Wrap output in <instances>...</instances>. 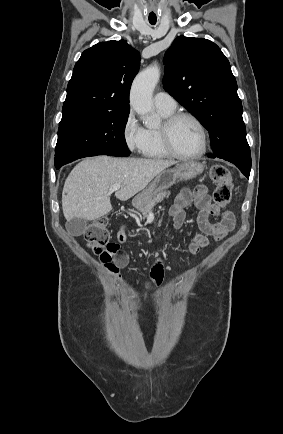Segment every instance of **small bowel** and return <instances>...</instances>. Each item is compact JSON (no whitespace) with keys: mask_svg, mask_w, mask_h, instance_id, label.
<instances>
[{"mask_svg":"<svg viewBox=\"0 0 283 434\" xmlns=\"http://www.w3.org/2000/svg\"><path fill=\"white\" fill-rule=\"evenodd\" d=\"M192 201H194L196 206L200 209L197 218L199 231L194 233L188 241V251L192 255H197L209 246L210 241L208 237H212L216 241L224 239L234 228L235 219L232 213H222L217 206L212 205L207 187L199 185L194 189H182L176 197L170 209V215L173 219L175 229H180L183 226L185 222L184 210ZM210 216L219 217L220 220L218 222H212L210 221ZM126 239V231L121 230L117 235V241L110 243L107 250L100 255V262L111 275H117L121 269L128 265V255L121 249V245ZM162 277L163 265L158 261L151 271L152 285H159Z\"/></svg>","mask_w":283,"mask_h":434,"instance_id":"small-bowel-1","label":"small bowel"}]
</instances>
